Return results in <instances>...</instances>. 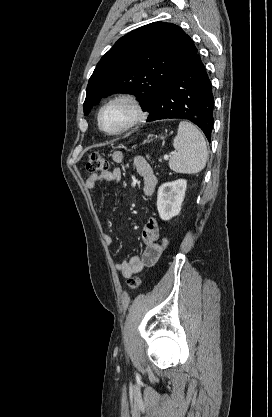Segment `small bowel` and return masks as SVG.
I'll return each instance as SVG.
<instances>
[{
	"mask_svg": "<svg viewBox=\"0 0 272 417\" xmlns=\"http://www.w3.org/2000/svg\"><path fill=\"white\" fill-rule=\"evenodd\" d=\"M112 159L115 163L122 164L125 161V155L121 151H115L112 154ZM132 162L137 174L142 179L144 195L147 197L152 196L157 185V178L154 175L151 166L142 155H135ZM121 177V170L115 168L111 171L90 175L85 184L86 187L92 191L101 182H119ZM159 231L160 227L157 219L150 218L142 231V240L146 244V249L143 254L141 256H131L128 260L118 262L115 265L117 272L123 278L129 279L133 275L140 273L145 267L152 266L158 260L162 252L158 247ZM104 241L108 246L114 244V239L109 234L104 235Z\"/></svg>",
	"mask_w": 272,
	"mask_h": 417,
	"instance_id": "obj_1",
	"label": "small bowel"
}]
</instances>
